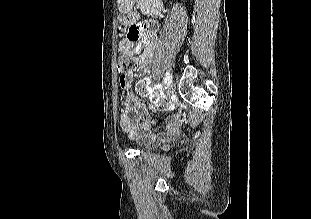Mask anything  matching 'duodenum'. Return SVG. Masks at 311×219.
<instances>
[{"mask_svg":"<svg viewBox=\"0 0 311 219\" xmlns=\"http://www.w3.org/2000/svg\"><path fill=\"white\" fill-rule=\"evenodd\" d=\"M149 31H152L154 29V26L153 25H148V28H147Z\"/></svg>","mask_w":311,"mask_h":219,"instance_id":"410a0bca","label":"duodenum"}]
</instances>
